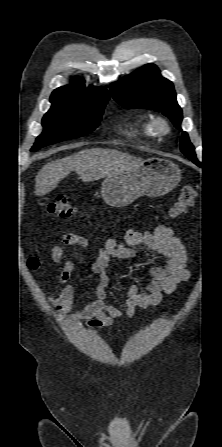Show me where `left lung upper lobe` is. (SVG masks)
Masks as SVG:
<instances>
[{"instance_id":"5c2ea615","label":"left lung upper lobe","mask_w":222,"mask_h":447,"mask_svg":"<svg viewBox=\"0 0 222 447\" xmlns=\"http://www.w3.org/2000/svg\"><path fill=\"white\" fill-rule=\"evenodd\" d=\"M113 98L125 108H146L162 112L181 130L182 110L171 81L160 75L154 64H147L110 86ZM181 151L195 160V149L183 132Z\"/></svg>"}]
</instances>
